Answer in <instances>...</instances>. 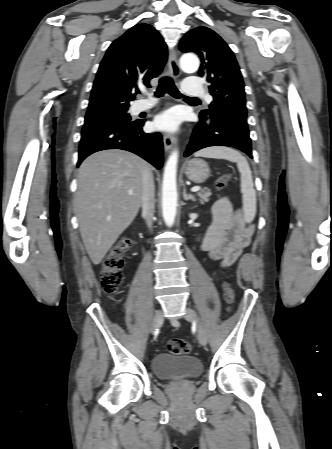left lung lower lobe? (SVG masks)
I'll list each match as a JSON object with an SVG mask.
<instances>
[{"label":"left lung lower lobe","instance_id":"1","mask_svg":"<svg viewBox=\"0 0 332 449\" xmlns=\"http://www.w3.org/2000/svg\"><path fill=\"white\" fill-rule=\"evenodd\" d=\"M210 146L237 148L252 158L251 139L247 119L241 116H217L208 121H199L184 153H192Z\"/></svg>","mask_w":332,"mask_h":449}]
</instances>
